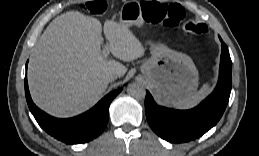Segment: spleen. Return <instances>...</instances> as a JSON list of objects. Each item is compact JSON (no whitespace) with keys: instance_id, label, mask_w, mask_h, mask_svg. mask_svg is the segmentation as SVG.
<instances>
[{"instance_id":"spleen-1","label":"spleen","mask_w":259,"mask_h":156,"mask_svg":"<svg viewBox=\"0 0 259 156\" xmlns=\"http://www.w3.org/2000/svg\"><path fill=\"white\" fill-rule=\"evenodd\" d=\"M209 92L208 84H204L203 87L196 92L195 94L181 99L174 104H172L175 108L178 109H190L194 106L198 105L207 95Z\"/></svg>"}]
</instances>
